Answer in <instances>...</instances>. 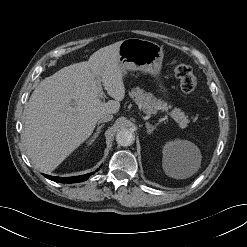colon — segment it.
Instances as JSON below:
<instances>
[{
    "label": "colon",
    "mask_w": 247,
    "mask_h": 247,
    "mask_svg": "<svg viewBox=\"0 0 247 247\" xmlns=\"http://www.w3.org/2000/svg\"><path fill=\"white\" fill-rule=\"evenodd\" d=\"M173 69L175 76L179 80L181 90L187 94L192 93L197 86V79L192 69L182 63H175Z\"/></svg>",
    "instance_id": "1"
}]
</instances>
